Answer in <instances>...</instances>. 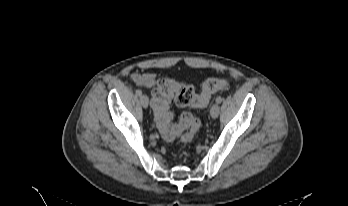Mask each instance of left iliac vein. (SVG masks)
<instances>
[{
  "label": "left iliac vein",
  "mask_w": 348,
  "mask_h": 206,
  "mask_svg": "<svg viewBox=\"0 0 348 206\" xmlns=\"http://www.w3.org/2000/svg\"><path fill=\"white\" fill-rule=\"evenodd\" d=\"M210 115L213 119H216L219 115V106L217 103H213L210 108Z\"/></svg>",
  "instance_id": "obj_1"
}]
</instances>
